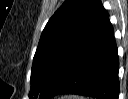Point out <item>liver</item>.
Masks as SVG:
<instances>
[{
    "label": "liver",
    "instance_id": "liver-1",
    "mask_svg": "<svg viewBox=\"0 0 128 99\" xmlns=\"http://www.w3.org/2000/svg\"><path fill=\"white\" fill-rule=\"evenodd\" d=\"M67 99H79L78 97H76V96H68V97H66Z\"/></svg>",
    "mask_w": 128,
    "mask_h": 99
}]
</instances>
